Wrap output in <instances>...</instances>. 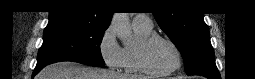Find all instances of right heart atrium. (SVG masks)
Wrapping results in <instances>:
<instances>
[{
	"label": "right heart atrium",
	"mask_w": 255,
	"mask_h": 79,
	"mask_svg": "<svg viewBox=\"0 0 255 79\" xmlns=\"http://www.w3.org/2000/svg\"><path fill=\"white\" fill-rule=\"evenodd\" d=\"M98 50L106 66L114 70L123 67V48L117 42L111 27H107L103 32Z\"/></svg>",
	"instance_id": "d8ad5b80"
}]
</instances>
